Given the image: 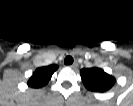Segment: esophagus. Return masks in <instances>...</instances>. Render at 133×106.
<instances>
[{
  "mask_svg": "<svg viewBox=\"0 0 133 106\" xmlns=\"http://www.w3.org/2000/svg\"><path fill=\"white\" fill-rule=\"evenodd\" d=\"M78 66L77 62H74L72 65H70L69 67H71L72 69H76Z\"/></svg>",
  "mask_w": 133,
  "mask_h": 106,
  "instance_id": "obj_1",
  "label": "esophagus"
}]
</instances>
